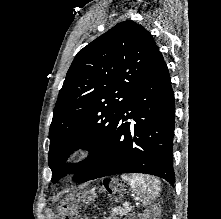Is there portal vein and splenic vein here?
<instances>
[{"instance_id":"obj_1","label":"portal vein and splenic vein","mask_w":221,"mask_h":219,"mask_svg":"<svg viewBox=\"0 0 221 219\" xmlns=\"http://www.w3.org/2000/svg\"><path fill=\"white\" fill-rule=\"evenodd\" d=\"M124 206H125V207H129V203H128V202H125V203H124Z\"/></svg>"}]
</instances>
